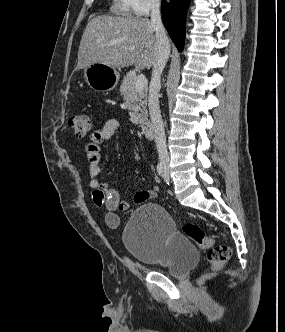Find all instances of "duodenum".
Wrapping results in <instances>:
<instances>
[{
	"instance_id": "obj_1",
	"label": "duodenum",
	"mask_w": 285,
	"mask_h": 332,
	"mask_svg": "<svg viewBox=\"0 0 285 332\" xmlns=\"http://www.w3.org/2000/svg\"><path fill=\"white\" fill-rule=\"evenodd\" d=\"M141 131H142V134L148 139H151L154 137V128H153L152 123H150V122L143 123L141 126Z\"/></svg>"
}]
</instances>
